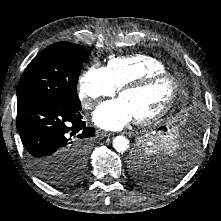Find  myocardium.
I'll return each mask as SVG.
<instances>
[{"mask_svg":"<svg viewBox=\"0 0 221 221\" xmlns=\"http://www.w3.org/2000/svg\"><path fill=\"white\" fill-rule=\"evenodd\" d=\"M164 78L170 79L173 83V86H174L173 93L171 95L170 100L167 102V104L161 110H159L155 114H153L151 116L135 119L136 124L150 125V124L156 123L157 121H159L163 117H165L170 112V110L174 107V105L176 104L181 87H182V83L177 76H175L174 74H172L170 72L165 71V72L148 74L138 80L128 82L120 87L119 92H118L119 96L123 92H126V91H135V90L143 89V88L149 86L150 84H152L160 79H164Z\"/></svg>","mask_w":221,"mask_h":221,"instance_id":"1","label":"myocardium"}]
</instances>
